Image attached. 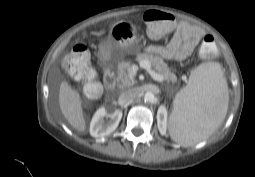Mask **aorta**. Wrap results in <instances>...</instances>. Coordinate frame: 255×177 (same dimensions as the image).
Here are the masks:
<instances>
[{"instance_id": "aorta-1", "label": "aorta", "mask_w": 255, "mask_h": 177, "mask_svg": "<svg viewBox=\"0 0 255 177\" xmlns=\"http://www.w3.org/2000/svg\"><path fill=\"white\" fill-rule=\"evenodd\" d=\"M155 100V95L152 92H146L144 94V101L148 103H153Z\"/></svg>"}]
</instances>
